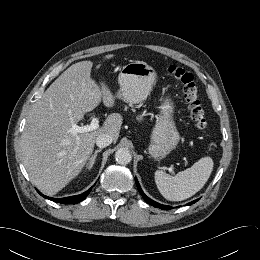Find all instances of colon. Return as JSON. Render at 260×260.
<instances>
[{"instance_id":"1","label":"colon","mask_w":260,"mask_h":260,"mask_svg":"<svg viewBox=\"0 0 260 260\" xmlns=\"http://www.w3.org/2000/svg\"><path fill=\"white\" fill-rule=\"evenodd\" d=\"M168 73L182 84L184 98L188 103L189 116L195 127L202 133L206 132V119L197 95V86L193 75L183 68L172 65Z\"/></svg>"}]
</instances>
